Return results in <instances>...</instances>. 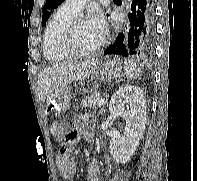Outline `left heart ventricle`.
Listing matches in <instances>:
<instances>
[{"label": "left heart ventricle", "mask_w": 197, "mask_h": 181, "mask_svg": "<svg viewBox=\"0 0 197 181\" xmlns=\"http://www.w3.org/2000/svg\"><path fill=\"white\" fill-rule=\"evenodd\" d=\"M102 34L95 30L89 23H80L75 31L74 44L78 50L88 51L95 48L100 42Z\"/></svg>", "instance_id": "1"}]
</instances>
